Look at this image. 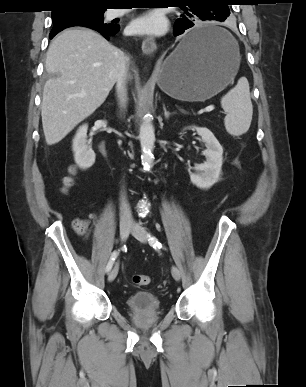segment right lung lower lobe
<instances>
[{"label":"right lung lower lobe","instance_id":"right-lung-lower-lobe-1","mask_svg":"<svg viewBox=\"0 0 306 387\" xmlns=\"http://www.w3.org/2000/svg\"><path fill=\"white\" fill-rule=\"evenodd\" d=\"M113 26H98V27H90L91 29H94L98 31L100 34H102L105 38H109L111 36H114L120 29L119 25L112 24ZM57 33H53L50 35V38L52 39Z\"/></svg>","mask_w":306,"mask_h":387}]
</instances>
